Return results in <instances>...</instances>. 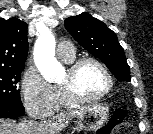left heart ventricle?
I'll return each mask as SVG.
<instances>
[{"label":"left heart ventricle","mask_w":153,"mask_h":134,"mask_svg":"<svg viewBox=\"0 0 153 134\" xmlns=\"http://www.w3.org/2000/svg\"><path fill=\"white\" fill-rule=\"evenodd\" d=\"M68 73L65 72L60 80L63 83L67 80ZM108 81L103 71L95 64L87 63L83 65L75 77V89L82 96H94L107 87Z\"/></svg>","instance_id":"obj_1"}]
</instances>
